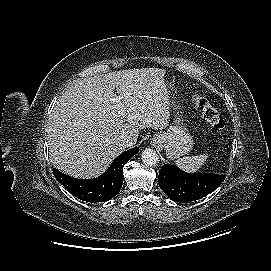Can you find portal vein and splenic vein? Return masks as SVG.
Segmentation results:
<instances>
[{"label": "portal vein and splenic vein", "instance_id": "1", "mask_svg": "<svg viewBox=\"0 0 271 271\" xmlns=\"http://www.w3.org/2000/svg\"><path fill=\"white\" fill-rule=\"evenodd\" d=\"M114 101H115L116 103H120L121 97H119V96L115 97V98H114ZM118 114H119V116H121L123 113H122V111L120 110V111H118Z\"/></svg>", "mask_w": 271, "mask_h": 271}]
</instances>
